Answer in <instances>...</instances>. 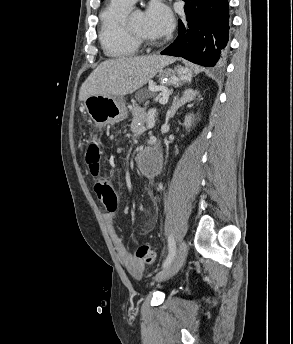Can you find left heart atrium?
<instances>
[{"label": "left heart atrium", "mask_w": 293, "mask_h": 344, "mask_svg": "<svg viewBox=\"0 0 293 344\" xmlns=\"http://www.w3.org/2000/svg\"><path fill=\"white\" fill-rule=\"evenodd\" d=\"M174 21L170 9L160 2L149 5L144 14V26L148 34L161 38L173 29Z\"/></svg>", "instance_id": "left-heart-atrium-1"}]
</instances>
